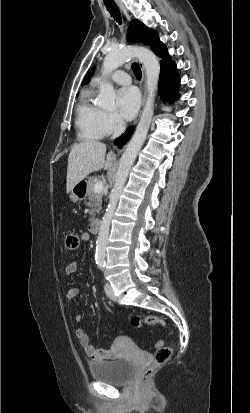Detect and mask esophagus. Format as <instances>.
<instances>
[{
	"instance_id": "obj_1",
	"label": "esophagus",
	"mask_w": 250,
	"mask_h": 413,
	"mask_svg": "<svg viewBox=\"0 0 250 413\" xmlns=\"http://www.w3.org/2000/svg\"><path fill=\"white\" fill-rule=\"evenodd\" d=\"M119 7H120L121 12L123 13V15L126 17V19H127L128 21H130V15H129L128 11L126 10V8H125L122 4H119ZM140 66H141V69H142L143 81H144V80H145V70H144V66H143L142 63H140ZM141 90H142V94H143V96H142V106H144V103H145V88H144V84H143V83L141 84ZM139 118H140V117H137V118L135 119V121H134V123H133L134 126L138 123ZM115 148H116V147H115Z\"/></svg>"
}]
</instances>
